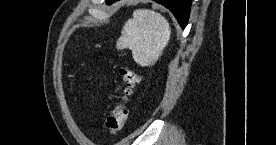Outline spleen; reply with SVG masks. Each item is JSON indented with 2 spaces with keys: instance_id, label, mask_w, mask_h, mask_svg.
<instances>
[{
  "instance_id": "spleen-1",
  "label": "spleen",
  "mask_w": 276,
  "mask_h": 145,
  "mask_svg": "<svg viewBox=\"0 0 276 145\" xmlns=\"http://www.w3.org/2000/svg\"><path fill=\"white\" fill-rule=\"evenodd\" d=\"M171 35L168 21L153 10L138 9L126 21L117 40L118 50L128 48L142 67L154 65L162 55Z\"/></svg>"
}]
</instances>
